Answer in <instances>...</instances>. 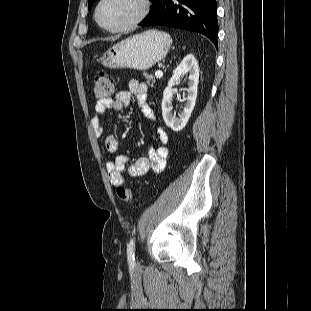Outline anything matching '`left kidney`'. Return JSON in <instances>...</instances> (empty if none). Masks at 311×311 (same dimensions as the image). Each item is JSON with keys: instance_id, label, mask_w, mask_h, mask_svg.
<instances>
[{"instance_id": "5707ae66", "label": "left kidney", "mask_w": 311, "mask_h": 311, "mask_svg": "<svg viewBox=\"0 0 311 311\" xmlns=\"http://www.w3.org/2000/svg\"><path fill=\"white\" fill-rule=\"evenodd\" d=\"M189 74L187 97L185 98L186 103L183 108V111L178 114L179 117H176V114L172 113V96H173V86L184 74ZM199 83V68L198 63L192 54L186 55L181 63L177 65L173 74L168 82V86L163 92L162 99V116L165 124L170 127L173 131L178 132L182 130L194 109L195 101L197 98V88Z\"/></svg>"}]
</instances>
